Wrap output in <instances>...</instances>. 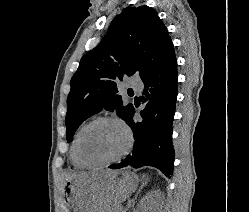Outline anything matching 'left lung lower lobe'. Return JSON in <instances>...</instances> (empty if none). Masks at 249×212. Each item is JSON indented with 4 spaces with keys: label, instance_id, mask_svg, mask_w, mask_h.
I'll use <instances>...</instances> for the list:
<instances>
[{
    "label": "left lung lower lobe",
    "instance_id": "left-lung-lower-lobe-1",
    "mask_svg": "<svg viewBox=\"0 0 249 212\" xmlns=\"http://www.w3.org/2000/svg\"><path fill=\"white\" fill-rule=\"evenodd\" d=\"M141 79L144 82V96L141 101L146 103L140 112L142 120L133 119V105L123 119L134 134L133 152L121 163L109 168L153 166L170 178L174 165L172 122L178 86L177 62L172 41L161 49Z\"/></svg>",
    "mask_w": 249,
    "mask_h": 212
}]
</instances>
